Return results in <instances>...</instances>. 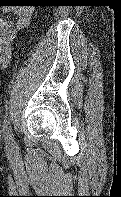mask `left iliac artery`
I'll use <instances>...</instances> for the list:
<instances>
[{
  "mask_svg": "<svg viewBox=\"0 0 121 197\" xmlns=\"http://www.w3.org/2000/svg\"><path fill=\"white\" fill-rule=\"evenodd\" d=\"M3 135H4V139L5 141L13 146L15 143H14V140L12 138V133H11V128H10V121L9 119H6L3 123Z\"/></svg>",
  "mask_w": 121,
  "mask_h": 197,
  "instance_id": "1",
  "label": "left iliac artery"
}]
</instances>
